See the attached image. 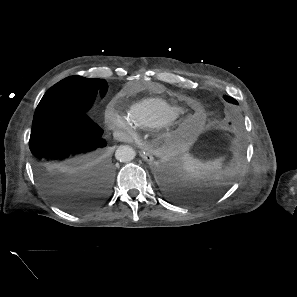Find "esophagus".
<instances>
[{
  "label": "esophagus",
  "instance_id": "1",
  "mask_svg": "<svg viewBox=\"0 0 297 297\" xmlns=\"http://www.w3.org/2000/svg\"><path fill=\"white\" fill-rule=\"evenodd\" d=\"M140 156L148 163H151L154 160L152 153L148 150L141 151Z\"/></svg>",
  "mask_w": 297,
  "mask_h": 297
}]
</instances>
